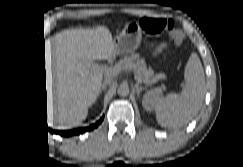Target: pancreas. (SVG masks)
I'll return each mask as SVG.
<instances>
[{
    "instance_id": "cf45deb5",
    "label": "pancreas",
    "mask_w": 243,
    "mask_h": 167,
    "mask_svg": "<svg viewBox=\"0 0 243 167\" xmlns=\"http://www.w3.org/2000/svg\"><path fill=\"white\" fill-rule=\"evenodd\" d=\"M121 70L133 71L135 79L138 82L149 84L154 79H165V74L154 75L153 69L147 68L145 61L139 58L138 54H132L131 56H126L123 59H120L116 64Z\"/></svg>"
}]
</instances>
